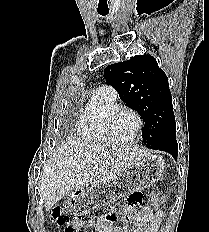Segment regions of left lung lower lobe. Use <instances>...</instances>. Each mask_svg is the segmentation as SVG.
<instances>
[{"instance_id":"left-lung-lower-lobe-1","label":"left lung lower lobe","mask_w":209,"mask_h":232,"mask_svg":"<svg viewBox=\"0 0 209 232\" xmlns=\"http://www.w3.org/2000/svg\"><path fill=\"white\" fill-rule=\"evenodd\" d=\"M160 150L170 153L176 160L178 156V144L176 136L166 139L160 146Z\"/></svg>"}]
</instances>
